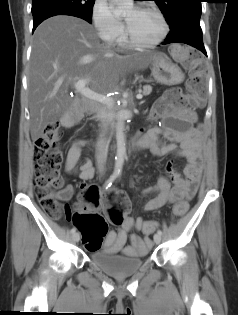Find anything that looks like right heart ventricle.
<instances>
[{"mask_svg":"<svg viewBox=\"0 0 238 315\" xmlns=\"http://www.w3.org/2000/svg\"><path fill=\"white\" fill-rule=\"evenodd\" d=\"M117 43L119 45H125L126 41L125 38L121 35L118 39H117Z\"/></svg>","mask_w":238,"mask_h":315,"instance_id":"obj_1","label":"right heart ventricle"}]
</instances>
